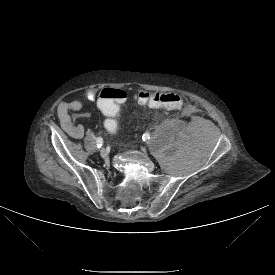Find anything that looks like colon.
<instances>
[{
    "label": "colon",
    "mask_w": 275,
    "mask_h": 275,
    "mask_svg": "<svg viewBox=\"0 0 275 275\" xmlns=\"http://www.w3.org/2000/svg\"><path fill=\"white\" fill-rule=\"evenodd\" d=\"M127 98V93L121 89L106 88L97 96V104L100 112L105 116L101 121V128L109 138H116L120 134L118 120V104L123 103ZM141 104L151 108L172 111L179 108L183 99L176 93H160L141 91L137 95Z\"/></svg>",
    "instance_id": "5ec220e1"
}]
</instances>
